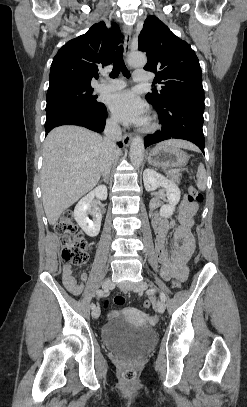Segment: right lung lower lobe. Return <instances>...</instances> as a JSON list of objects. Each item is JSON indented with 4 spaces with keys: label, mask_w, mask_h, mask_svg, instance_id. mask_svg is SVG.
<instances>
[{
    "label": "right lung lower lobe",
    "mask_w": 247,
    "mask_h": 407,
    "mask_svg": "<svg viewBox=\"0 0 247 407\" xmlns=\"http://www.w3.org/2000/svg\"><path fill=\"white\" fill-rule=\"evenodd\" d=\"M46 135L55 127L73 124L86 127L95 132H103L107 117V108L101 103L96 109L66 107L46 112ZM118 145L121 147L122 143Z\"/></svg>",
    "instance_id": "right-lung-lower-lobe-1"
}]
</instances>
